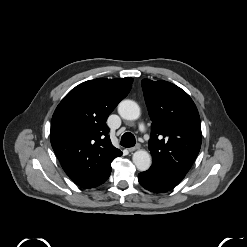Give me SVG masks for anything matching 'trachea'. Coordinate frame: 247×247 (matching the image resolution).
Segmentation results:
<instances>
[{
	"label": "trachea",
	"mask_w": 247,
	"mask_h": 247,
	"mask_svg": "<svg viewBox=\"0 0 247 247\" xmlns=\"http://www.w3.org/2000/svg\"><path fill=\"white\" fill-rule=\"evenodd\" d=\"M135 143H136L135 136L132 133L126 132L122 135L120 144L123 147L126 148L133 147Z\"/></svg>",
	"instance_id": "trachea-1"
}]
</instances>
